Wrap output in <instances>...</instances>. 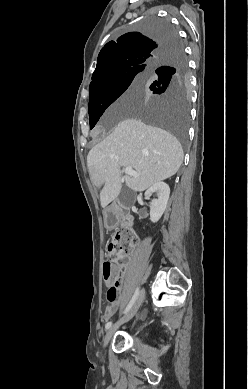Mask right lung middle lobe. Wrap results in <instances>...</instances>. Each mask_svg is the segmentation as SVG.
<instances>
[{"instance_id":"dd1d6c3e","label":"right lung middle lobe","mask_w":248,"mask_h":389,"mask_svg":"<svg viewBox=\"0 0 248 389\" xmlns=\"http://www.w3.org/2000/svg\"><path fill=\"white\" fill-rule=\"evenodd\" d=\"M138 29L152 38L177 37L168 21L153 16L139 23ZM157 68L166 71L157 74ZM143 82H147L155 97L146 103H123L118 113L135 115L148 123L163 127L185 145L190 101L188 67L184 54L176 51L162 56L159 62L149 69L135 67L114 71L102 77L89 89L90 129L132 83L134 85Z\"/></svg>"}]
</instances>
